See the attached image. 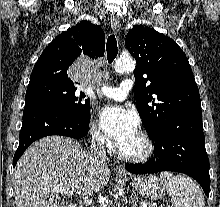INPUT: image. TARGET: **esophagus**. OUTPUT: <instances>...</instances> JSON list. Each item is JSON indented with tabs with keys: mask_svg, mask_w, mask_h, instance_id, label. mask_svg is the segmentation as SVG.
Segmentation results:
<instances>
[{
	"mask_svg": "<svg viewBox=\"0 0 220 207\" xmlns=\"http://www.w3.org/2000/svg\"><path fill=\"white\" fill-rule=\"evenodd\" d=\"M110 24H111L112 30L115 33H117L119 31L120 25H121L120 20L117 17L113 16V17L110 18ZM116 170L119 174L127 175V172H126L125 168L121 165L117 166Z\"/></svg>",
	"mask_w": 220,
	"mask_h": 207,
	"instance_id": "34e87169",
	"label": "esophagus"
}]
</instances>
